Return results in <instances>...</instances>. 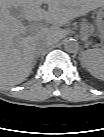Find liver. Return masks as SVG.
<instances>
[{
    "mask_svg": "<svg viewBox=\"0 0 104 137\" xmlns=\"http://www.w3.org/2000/svg\"><path fill=\"white\" fill-rule=\"evenodd\" d=\"M3 1L1 11V81L16 84L29 72L34 58V49L41 37L27 33L20 21L10 16L9 4L21 6L30 19H47L50 22H62L78 16L99 4L98 0H46L48 11L40 8V0Z\"/></svg>",
    "mask_w": 104,
    "mask_h": 137,
    "instance_id": "liver-1",
    "label": "liver"
}]
</instances>
